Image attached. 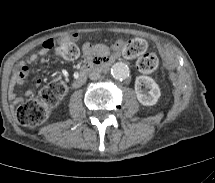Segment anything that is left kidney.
<instances>
[{
    "label": "left kidney",
    "mask_w": 215,
    "mask_h": 183,
    "mask_svg": "<svg viewBox=\"0 0 215 183\" xmlns=\"http://www.w3.org/2000/svg\"><path fill=\"white\" fill-rule=\"evenodd\" d=\"M143 84L150 89L148 95L141 90ZM135 93L138 101L145 106L155 105L161 95L158 84L149 76H138L136 78Z\"/></svg>",
    "instance_id": "1"
}]
</instances>
